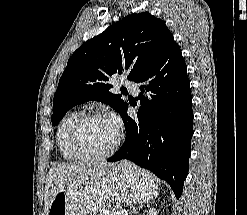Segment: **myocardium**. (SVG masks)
<instances>
[{
	"label": "myocardium",
	"instance_id": "1",
	"mask_svg": "<svg viewBox=\"0 0 247 215\" xmlns=\"http://www.w3.org/2000/svg\"><path fill=\"white\" fill-rule=\"evenodd\" d=\"M95 119H106V116L99 111H91L87 113L80 114L76 119L70 130V147L73 153L82 160L86 161H101L112 156L121 144L122 135L118 131L116 139L112 146L102 153H91L87 151L81 141V130L84 124L90 120Z\"/></svg>",
	"mask_w": 247,
	"mask_h": 215
}]
</instances>
